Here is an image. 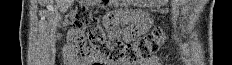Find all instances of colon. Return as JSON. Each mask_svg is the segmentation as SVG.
<instances>
[{
  "mask_svg": "<svg viewBox=\"0 0 232 65\" xmlns=\"http://www.w3.org/2000/svg\"><path fill=\"white\" fill-rule=\"evenodd\" d=\"M65 25L80 31L81 34L76 39L75 56L89 65H133L140 59L151 56L164 40L161 28L154 29L146 37H140L135 45L121 43L116 37H106L98 19L86 7L72 8Z\"/></svg>",
  "mask_w": 232,
  "mask_h": 65,
  "instance_id": "1",
  "label": "colon"
}]
</instances>
